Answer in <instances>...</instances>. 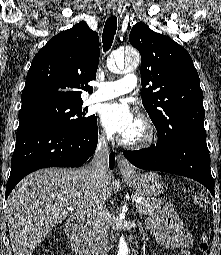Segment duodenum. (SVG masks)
<instances>
[{
    "label": "duodenum",
    "instance_id": "duodenum-1",
    "mask_svg": "<svg viewBox=\"0 0 221 255\" xmlns=\"http://www.w3.org/2000/svg\"><path fill=\"white\" fill-rule=\"evenodd\" d=\"M66 233L70 245L77 255H95V252L90 248L87 242L80 218L73 217L68 220L66 224Z\"/></svg>",
    "mask_w": 221,
    "mask_h": 255
}]
</instances>
